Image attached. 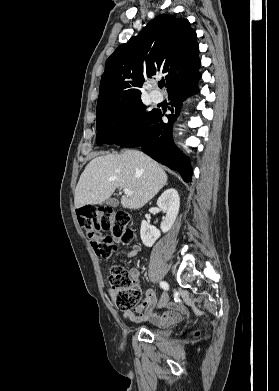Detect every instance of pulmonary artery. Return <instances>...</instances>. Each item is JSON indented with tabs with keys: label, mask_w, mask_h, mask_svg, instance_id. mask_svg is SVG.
Returning a JSON list of instances; mask_svg holds the SVG:
<instances>
[{
	"label": "pulmonary artery",
	"mask_w": 279,
	"mask_h": 391,
	"mask_svg": "<svg viewBox=\"0 0 279 391\" xmlns=\"http://www.w3.org/2000/svg\"><path fill=\"white\" fill-rule=\"evenodd\" d=\"M150 98L154 103H159L163 100V96L158 91H150Z\"/></svg>",
	"instance_id": "e3ab8cb5"
}]
</instances>
